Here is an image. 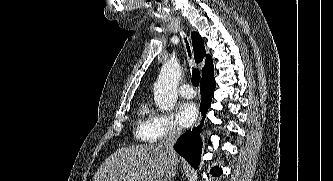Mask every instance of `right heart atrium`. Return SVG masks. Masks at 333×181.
Here are the masks:
<instances>
[{
    "mask_svg": "<svg viewBox=\"0 0 333 181\" xmlns=\"http://www.w3.org/2000/svg\"><path fill=\"white\" fill-rule=\"evenodd\" d=\"M152 128L156 141L165 138L176 137L181 133V127L169 113L156 114Z\"/></svg>",
    "mask_w": 333,
    "mask_h": 181,
    "instance_id": "d8ad5b80",
    "label": "right heart atrium"
}]
</instances>
